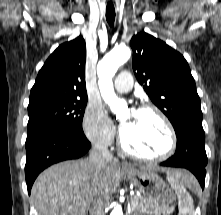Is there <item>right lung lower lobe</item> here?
<instances>
[{
	"instance_id": "obj_1",
	"label": "right lung lower lobe",
	"mask_w": 221,
	"mask_h": 215,
	"mask_svg": "<svg viewBox=\"0 0 221 215\" xmlns=\"http://www.w3.org/2000/svg\"><path fill=\"white\" fill-rule=\"evenodd\" d=\"M25 176L28 193L45 168L60 161L84 156L91 147L84 133L52 130L27 138Z\"/></svg>"
}]
</instances>
